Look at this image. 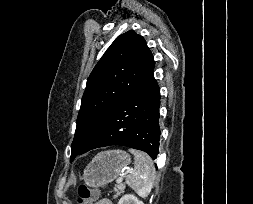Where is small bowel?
I'll list each match as a JSON object with an SVG mask.
<instances>
[{
  "label": "small bowel",
  "mask_w": 253,
  "mask_h": 204,
  "mask_svg": "<svg viewBox=\"0 0 253 204\" xmlns=\"http://www.w3.org/2000/svg\"><path fill=\"white\" fill-rule=\"evenodd\" d=\"M95 204H113L109 199H100Z\"/></svg>",
  "instance_id": "obj_1"
}]
</instances>
